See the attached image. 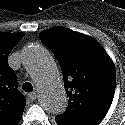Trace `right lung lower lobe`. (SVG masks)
Here are the masks:
<instances>
[{
  "label": "right lung lower lobe",
  "instance_id": "right-lung-lower-lobe-1",
  "mask_svg": "<svg viewBox=\"0 0 125 125\" xmlns=\"http://www.w3.org/2000/svg\"><path fill=\"white\" fill-rule=\"evenodd\" d=\"M22 115L20 117H18L16 120H14L12 123H10V125H17L18 122L20 121Z\"/></svg>",
  "mask_w": 125,
  "mask_h": 125
}]
</instances>
